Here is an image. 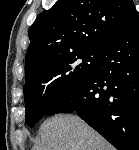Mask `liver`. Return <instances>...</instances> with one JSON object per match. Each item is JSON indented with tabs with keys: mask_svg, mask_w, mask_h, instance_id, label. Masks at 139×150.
Masks as SVG:
<instances>
[{
	"mask_svg": "<svg viewBox=\"0 0 139 150\" xmlns=\"http://www.w3.org/2000/svg\"><path fill=\"white\" fill-rule=\"evenodd\" d=\"M34 150H113V147L78 116L56 115L40 129Z\"/></svg>",
	"mask_w": 139,
	"mask_h": 150,
	"instance_id": "obj_1",
	"label": "liver"
}]
</instances>
